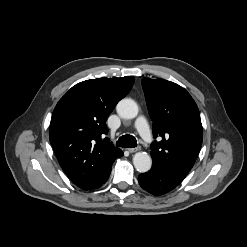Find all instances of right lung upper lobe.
Listing matches in <instances>:
<instances>
[{
  "label": "right lung upper lobe",
  "instance_id": "cb5924a9",
  "mask_svg": "<svg viewBox=\"0 0 247 247\" xmlns=\"http://www.w3.org/2000/svg\"><path fill=\"white\" fill-rule=\"evenodd\" d=\"M134 84V77L99 78L73 86L57 103L50 143L72 182L83 190L99 188L122 151L108 138L106 120Z\"/></svg>",
  "mask_w": 247,
  "mask_h": 247
}]
</instances>
